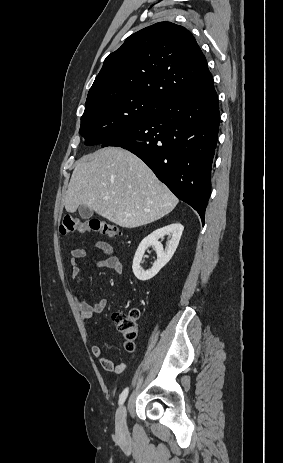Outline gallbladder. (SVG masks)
Instances as JSON below:
<instances>
[{
	"label": "gallbladder",
	"mask_w": 283,
	"mask_h": 463,
	"mask_svg": "<svg viewBox=\"0 0 283 463\" xmlns=\"http://www.w3.org/2000/svg\"><path fill=\"white\" fill-rule=\"evenodd\" d=\"M78 212L80 217L85 220L91 218L93 215V210L83 205L79 206Z\"/></svg>",
	"instance_id": "obj_1"
}]
</instances>
